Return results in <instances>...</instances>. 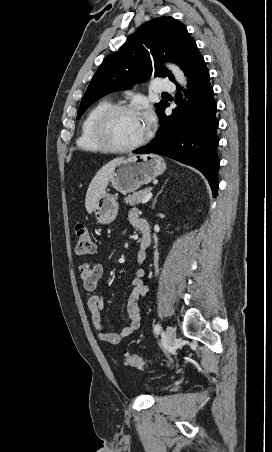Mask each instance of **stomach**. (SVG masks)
Here are the masks:
<instances>
[{"label":"stomach","mask_w":272,"mask_h":452,"mask_svg":"<svg viewBox=\"0 0 272 452\" xmlns=\"http://www.w3.org/2000/svg\"><path fill=\"white\" fill-rule=\"evenodd\" d=\"M166 168L164 160L154 154H131L113 169L109 182L122 194L136 191L161 175ZM116 198L104 192L97 200L93 212L100 224H110L118 214Z\"/></svg>","instance_id":"stomach-1"}]
</instances>
